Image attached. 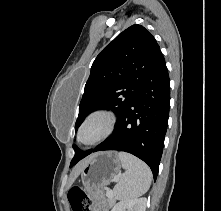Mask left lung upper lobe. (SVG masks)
Wrapping results in <instances>:
<instances>
[{
  "label": "left lung upper lobe",
  "instance_id": "left-lung-upper-lobe-1",
  "mask_svg": "<svg viewBox=\"0 0 221 211\" xmlns=\"http://www.w3.org/2000/svg\"><path fill=\"white\" fill-rule=\"evenodd\" d=\"M160 52L155 38L141 25H132L119 34L92 64L75 129L89 113L98 109L114 111L119 121ZM73 148L75 156L70 167L91 151L83 152L75 145Z\"/></svg>",
  "mask_w": 221,
  "mask_h": 211
}]
</instances>
